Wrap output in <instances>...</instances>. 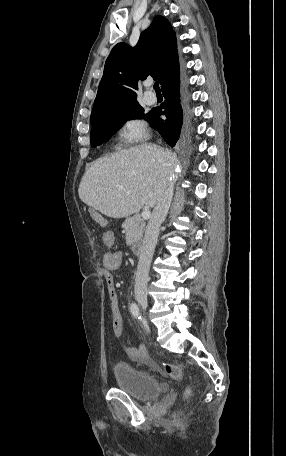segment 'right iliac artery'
<instances>
[{"label": "right iliac artery", "mask_w": 286, "mask_h": 456, "mask_svg": "<svg viewBox=\"0 0 286 456\" xmlns=\"http://www.w3.org/2000/svg\"><path fill=\"white\" fill-rule=\"evenodd\" d=\"M130 312L135 318L141 319L140 309L136 303L130 305Z\"/></svg>", "instance_id": "1"}]
</instances>
